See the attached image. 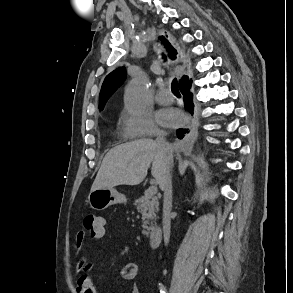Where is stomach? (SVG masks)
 <instances>
[{
	"instance_id": "obj_1",
	"label": "stomach",
	"mask_w": 293,
	"mask_h": 293,
	"mask_svg": "<svg viewBox=\"0 0 293 293\" xmlns=\"http://www.w3.org/2000/svg\"><path fill=\"white\" fill-rule=\"evenodd\" d=\"M125 195L115 189L100 188L90 192L88 202L90 206L98 211L104 210L117 203H126Z\"/></svg>"
}]
</instances>
